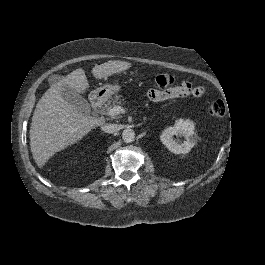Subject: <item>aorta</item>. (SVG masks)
Here are the masks:
<instances>
[{
  "label": "aorta",
  "instance_id": "obj_1",
  "mask_svg": "<svg viewBox=\"0 0 265 265\" xmlns=\"http://www.w3.org/2000/svg\"><path fill=\"white\" fill-rule=\"evenodd\" d=\"M122 139L125 143H131L135 141V132L132 129H126L122 133Z\"/></svg>",
  "mask_w": 265,
  "mask_h": 265
}]
</instances>
